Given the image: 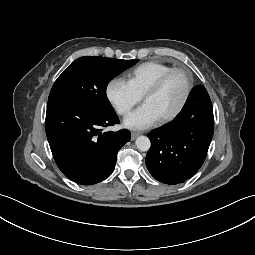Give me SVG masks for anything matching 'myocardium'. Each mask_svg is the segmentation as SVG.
I'll return each instance as SVG.
<instances>
[{
  "label": "myocardium",
  "mask_w": 255,
  "mask_h": 255,
  "mask_svg": "<svg viewBox=\"0 0 255 255\" xmlns=\"http://www.w3.org/2000/svg\"><path fill=\"white\" fill-rule=\"evenodd\" d=\"M176 72L182 73L186 78L185 94H184L180 104L178 105V107L170 114L161 118V121H163V122H168V121L175 119L181 113L183 108L185 107V105L190 97L191 91H192V78H191L189 72L187 70H185L184 68H179V67L171 68L170 70L163 73L160 77H158V79L146 90V92L143 95L144 100H146L148 96L158 92L161 89V87L163 86V84L165 83V81L173 73H176Z\"/></svg>",
  "instance_id": "obj_1"
}]
</instances>
